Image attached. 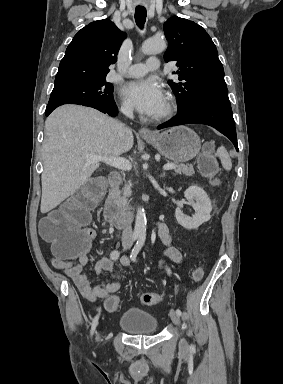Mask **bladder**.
<instances>
[{
	"label": "bladder",
	"instance_id": "31cf9c89",
	"mask_svg": "<svg viewBox=\"0 0 283 384\" xmlns=\"http://www.w3.org/2000/svg\"><path fill=\"white\" fill-rule=\"evenodd\" d=\"M159 326L153 312L135 306L127 307L118 320V328L130 336L155 335Z\"/></svg>",
	"mask_w": 283,
	"mask_h": 384
}]
</instances>
